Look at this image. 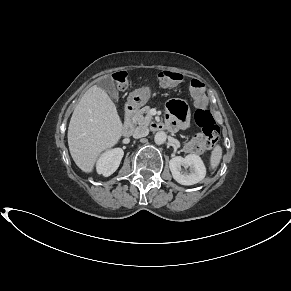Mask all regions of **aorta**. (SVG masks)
I'll use <instances>...</instances> for the list:
<instances>
[{"label": "aorta", "instance_id": "aorta-1", "mask_svg": "<svg viewBox=\"0 0 291 291\" xmlns=\"http://www.w3.org/2000/svg\"><path fill=\"white\" fill-rule=\"evenodd\" d=\"M167 139V135L165 132L163 131H159L155 134L154 136V141L156 144H163Z\"/></svg>", "mask_w": 291, "mask_h": 291}]
</instances>
